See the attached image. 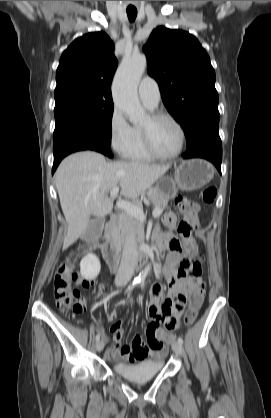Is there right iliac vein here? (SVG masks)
<instances>
[{
  "label": "right iliac vein",
  "instance_id": "1",
  "mask_svg": "<svg viewBox=\"0 0 271 418\" xmlns=\"http://www.w3.org/2000/svg\"><path fill=\"white\" fill-rule=\"evenodd\" d=\"M104 345H105L104 340H98L96 342V349H97V351H99V352L102 351L103 348H104Z\"/></svg>",
  "mask_w": 271,
  "mask_h": 418
}]
</instances>
